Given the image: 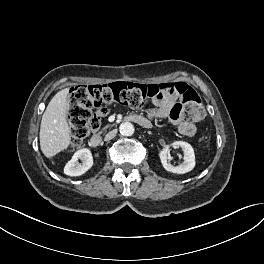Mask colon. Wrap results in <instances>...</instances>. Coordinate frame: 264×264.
I'll use <instances>...</instances> for the list:
<instances>
[{"instance_id": "1", "label": "colon", "mask_w": 264, "mask_h": 264, "mask_svg": "<svg viewBox=\"0 0 264 264\" xmlns=\"http://www.w3.org/2000/svg\"><path fill=\"white\" fill-rule=\"evenodd\" d=\"M174 93L178 95L180 112L185 120L197 122L204 118L205 110L200 96L184 82L159 85L134 82L78 85L71 90L68 106L71 143L75 147L80 146L90 131L99 127L100 114L109 106L119 104L139 108Z\"/></svg>"}]
</instances>
